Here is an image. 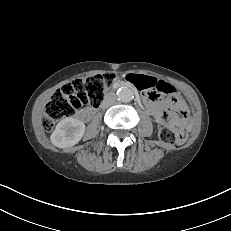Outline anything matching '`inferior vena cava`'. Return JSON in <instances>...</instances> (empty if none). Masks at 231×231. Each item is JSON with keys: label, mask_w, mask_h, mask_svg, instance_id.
I'll return each instance as SVG.
<instances>
[{"label": "inferior vena cava", "mask_w": 231, "mask_h": 231, "mask_svg": "<svg viewBox=\"0 0 231 231\" xmlns=\"http://www.w3.org/2000/svg\"><path fill=\"white\" fill-rule=\"evenodd\" d=\"M115 96L113 94H109L105 97L106 106L113 105L115 103Z\"/></svg>", "instance_id": "inferior-vena-cava-1"}]
</instances>
